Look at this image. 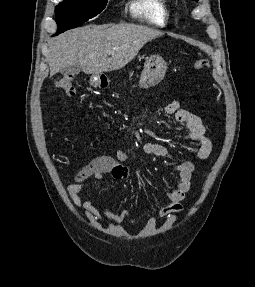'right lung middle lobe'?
<instances>
[{
  "mask_svg": "<svg viewBox=\"0 0 255 287\" xmlns=\"http://www.w3.org/2000/svg\"><path fill=\"white\" fill-rule=\"evenodd\" d=\"M108 0H64L55 8L58 35L98 15Z\"/></svg>",
  "mask_w": 255,
  "mask_h": 287,
  "instance_id": "1",
  "label": "right lung middle lobe"
}]
</instances>
